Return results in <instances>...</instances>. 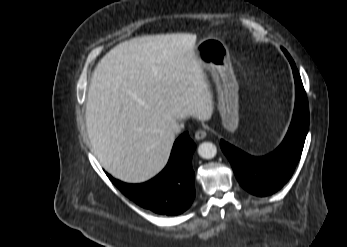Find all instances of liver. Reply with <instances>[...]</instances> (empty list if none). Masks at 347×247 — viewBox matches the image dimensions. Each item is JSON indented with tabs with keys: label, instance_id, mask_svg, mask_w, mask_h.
Listing matches in <instances>:
<instances>
[{
	"label": "liver",
	"instance_id": "obj_1",
	"mask_svg": "<svg viewBox=\"0 0 347 247\" xmlns=\"http://www.w3.org/2000/svg\"><path fill=\"white\" fill-rule=\"evenodd\" d=\"M195 34L136 37L97 64L88 91L86 128L93 152L112 176L145 182L167 164L169 126L209 120L212 93L195 57Z\"/></svg>",
	"mask_w": 347,
	"mask_h": 247
}]
</instances>
